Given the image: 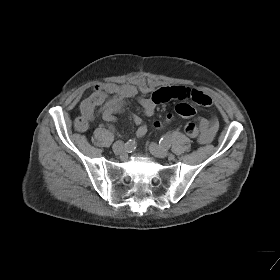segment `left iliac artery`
<instances>
[{
  "instance_id": "left-iliac-artery-1",
  "label": "left iliac artery",
  "mask_w": 280,
  "mask_h": 280,
  "mask_svg": "<svg viewBox=\"0 0 280 280\" xmlns=\"http://www.w3.org/2000/svg\"><path fill=\"white\" fill-rule=\"evenodd\" d=\"M161 143L166 145V146H170L171 142H172V133L168 132L167 134H165L162 138H161Z\"/></svg>"
}]
</instances>
